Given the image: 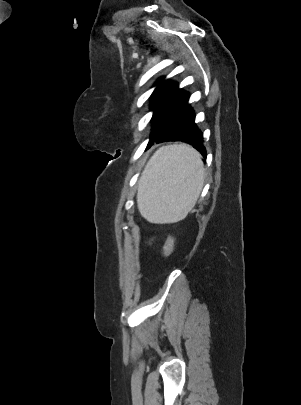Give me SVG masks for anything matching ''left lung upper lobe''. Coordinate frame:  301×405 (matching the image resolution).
Instances as JSON below:
<instances>
[{"label":"left lung upper lobe","instance_id":"obj_1","mask_svg":"<svg viewBox=\"0 0 301 405\" xmlns=\"http://www.w3.org/2000/svg\"><path fill=\"white\" fill-rule=\"evenodd\" d=\"M160 79L159 81H161ZM151 110L154 111L152 117V132L155 133L163 124L168 114L177 102L184 96V92L178 89L176 83L163 81L153 92Z\"/></svg>","mask_w":301,"mask_h":405}]
</instances>
